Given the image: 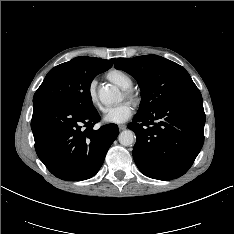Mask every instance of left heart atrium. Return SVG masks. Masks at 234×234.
Wrapping results in <instances>:
<instances>
[{"label": "left heart atrium", "mask_w": 234, "mask_h": 234, "mask_svg": "<svg viewBox=\"0 0 234 234\" xmlns=\"http://www.w3.org/2000/svg\"><path fill=\"white\" fill-rule=\"evenodd\" d=\"M134 113L132 105L128 102L119 104L116 107L110 108L104 115V121L107 123L121 124L131 118Z\"/></svg>", "instance_id": "1"}]
</instances>
